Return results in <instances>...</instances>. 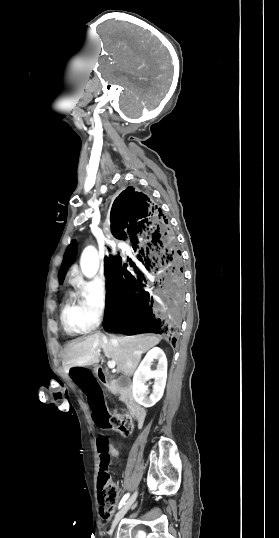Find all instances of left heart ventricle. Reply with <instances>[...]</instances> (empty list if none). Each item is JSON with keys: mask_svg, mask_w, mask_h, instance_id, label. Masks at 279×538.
Returning <instances> with one entry per match:
<instances>
[{"mask_svg": "<svg viewBox=\"0 0 279 538\" xmlns=\"http://www.w3.org/2000/svg\"><path fill=\"white\" fill-rule=\"evenodd\" d=\"M76 208H79V207H72V209H76ZM85 218H86L85 215H81L80 217H78V218L76 219V222H81V221L84 220Z\"/></svg>", "mask_w": 279, "mask_h": 538, "instance_id": "b2bd125f", "label": "left heart ventricle"}]
</instances>
